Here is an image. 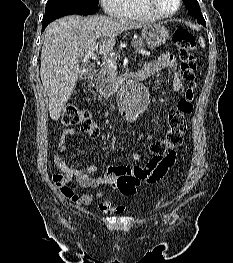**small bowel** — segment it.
I'll list each match as a JSON object with an SVG mask.
<instances>
[{
    "label": "small bowel",
    "mask_w": 233,
    "mask_h": 263,
    "mask_svg": "<svg viewBox=\"0 0 233 263\" xmlns=\"http://www.w3.org/2000/svg\"><path fill=\"white\" fill-rule=\"evenodd\" d=\"M165 69L173 71L177 69V61L173 54H162L156 60L145 64L142 68L148 77ZM182 87V79L180 75L175 72L172 76V88L175 92H179ZM74 134H76V130L73 128H66L61 132L58 142L59 152L54 156L55 164L64 173V178L56 182V186L68 201L77 205H90L94 201L100 200L99 209L101 212L118 213L121 212L123 208L117 206L113 200L104 198L103 191L87 192L83 195H78L69 187L71 180L75 178L77 183L85 188L109 186L124 196H133L137 191V187L143 181L148 183L154 182L149 181L146 176L138 177L120 173V169L129 167L126 165H111L103 170L96 165H90L83 169L68 165L63 158V154L68 148L66 144L67 138ZM155 165L156 161L151 160L144 167L140 168L146 174H149ZM99 171H101V174L95 175Z\"/></svg>",
    "instance_id": "1"
}]
</instances>
